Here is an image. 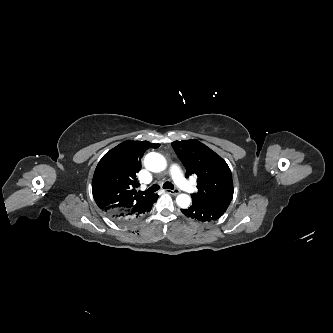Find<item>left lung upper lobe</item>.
<instances>
[{
  "label": "left lung upper lobe",
  "instance_id": "left-lung-upper-lobe-1",
  "mask_svg": "<svg viewBox=\"0 0 333 333\" xmlns=\"http://www.w3.org/2000/svg\"><path fill=\"white\" fill-rule=\"evenodd\" d=\"M172 147L185 165L186 177L197 176L193 200L228 207L233 197L232 174L227 163L197 140L174 141Z\"/></svg>",
  "mask_w": 333,
  "mask_h": 333
}]
</instances>
